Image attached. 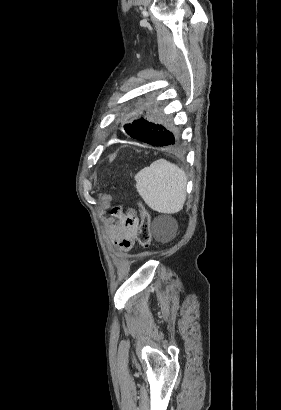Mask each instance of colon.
<instances>
[{"instance_id": "colon-1", "label": "colon", "mask_w": 281, "mask_h": 410, "mask_svg": "<svg viewBox=\"0 0 281 410\" xmlns=\"http://www.w3.org/2000/svg\"><path fill=\"white\" fill-rule=\"evenodd\" d=\"M113 214L121 215L122 214L121 207L114 208ZM129 216L133 217V215H129ZM137 238H138L139 245L142 248L147 249L151 245L152 236H151V229H150V215L142 204L140 205V224H139Z\"/></svg>"}]
</instances>
